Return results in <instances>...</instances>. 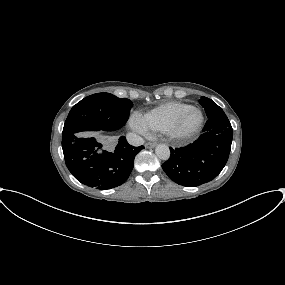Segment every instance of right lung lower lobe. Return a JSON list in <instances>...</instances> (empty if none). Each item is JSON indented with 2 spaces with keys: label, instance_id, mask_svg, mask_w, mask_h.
I'll return each mask as SVG.
<instances>
[{
  "label": "right lung lower lobe",
  "instance_id": "98d812e1",
  "mask_svg": "<svg viewBox=\"0 0 285 285\" xmlns=\"http://www.w3.org/2000/svg\"><path fill=\"white\" fill-rule=\"evenodd\" d=\"M62 148L66 166L79 182L106 190L128 179L134 158L144 147L131 146L121 136L115 149L106 150L96 138L77 134L63 137Z\"/></svg>",
  "mask_w": 285,
  "mask_h": 285
}]
</instances>
